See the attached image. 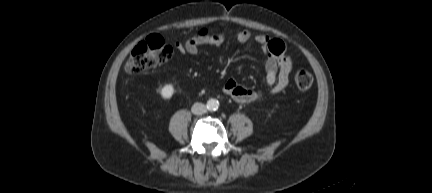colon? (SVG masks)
<instances>
[{"instance_id":"obj_1","label":"colon","mask_w":432,"mask_h":193,"mask_svg":"<svg viewBox=\"0 0 432 193\" xmlns=\"http://www.w3.org/2000/svg\"><path fill=\"white\" fill-rule=\"evenodd\" d=\"M172 47L162 37L152 35L138 43L124 64V72L137 75L166 63L172 56ZM294 81L301 90L309 89L313 84V76L306 70H298Z\"/></svg>"}]
</instances>
